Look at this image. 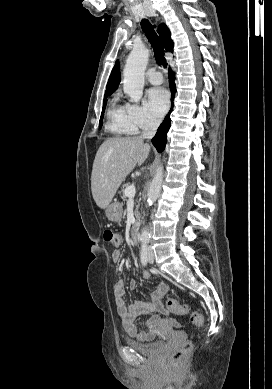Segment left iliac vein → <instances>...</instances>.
Here are the masks:
<instances>
[{"label":"left iliac vein","instance_id":"1","mask_svg":"<svg viewBox=\"0 0 272 389\" xmlns=\"http://www.w3.org/2000/svg\"><path fill=\"white\" fill-rule=\"evenodd\" d=\"M148 261L149 263L154 262V253L150 247L148 248Z\"/></svg>","mask_w":272,"mask_h":389}]
</instances>
